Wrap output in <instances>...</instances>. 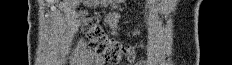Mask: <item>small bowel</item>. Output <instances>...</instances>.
<instances>
[{"mask_svg":"<svg viewBox=\"0 0 232 65\" xmlns=\"http://www.w3.org/2000/svg\"><path fill=\"white\" fill-rule=\"evenodd\" d=\"M116 14L114 12H107V17H109V20H112V17H114ZM116 20H119V17H116ZM122 20H127V17H122ZM138 33V30H134V32L130 33L131 37H136ZM142 63H139L141 65Z\"/></svg>","mask_w":232,"mask_h":65,"instance_id":"small-bowel-1","label":"small bowel"}]
</instances>
